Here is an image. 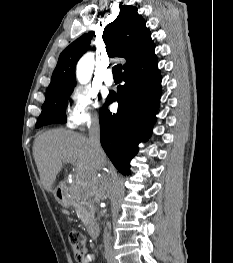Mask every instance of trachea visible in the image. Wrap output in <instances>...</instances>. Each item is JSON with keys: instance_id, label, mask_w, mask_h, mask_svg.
I'll return each mask as SVG.
<instances>
[{"instance_id": "1", "label": "trachea", "mask_w": 233, "mask_h": 263, "mask_svg": "<svg viewBox=\"0 0 233 263\" xmlns=\"http://www.w3.org/2000/svg\"><path fill=\"white\" fill-rule=\"evenodd\" d=\"M112 72L114 78L116 79L122 78V65L121 64L115 65L112 69Z\"/></svg>"}]
</instances>
